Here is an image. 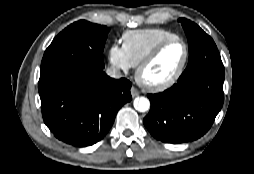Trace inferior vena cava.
<instances>
[{"instance_id": "602c4592", "label": "inferior vena cava", "mask_w": 254, "mask_h": 174, "mask_svg": "<svg viewBox=\"0 0 254 174\" xmlns=\"http://www.w3.org/2000/svg\"><path fill=\"white\" fill-rule=\"evenodd\" d=\"M106 74L112 78L119 79L122 77L121 71L114 66L107 68Z\"/></svg>"}]
</instances>
